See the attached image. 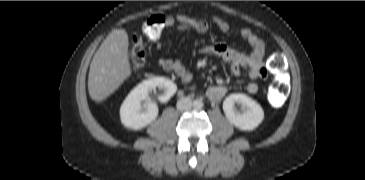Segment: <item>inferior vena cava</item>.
Instances as JSON below:
<instances>
[{
  "label": "inferior vena cava",
  "mask_w": 365,
  "mask_h": 180,
  "mask_svg": "<svg viewBox=\"0 0 365 180\" xmlns=\"http://www.w3.org/2000/svg\"><path fill=\"white\" fill-rule=\"evenodd\" d=\"M176 106L179 111L189 110L192 107V101L188 97H183L177 101Z\"/></svg>",
  "instance_id": "obj_1"
}]
</instances>
